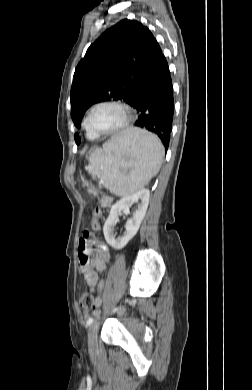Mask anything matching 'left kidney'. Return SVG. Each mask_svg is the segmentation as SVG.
I'll list each match as a JSON object with an SVG mask.
<instances>
[{
  "label": "left kidney",
  "mask_w": 252,
  "mask_h": 390,
  "mask_svg": "<svg viewBox=\"0 0 252 390\" xmlns=\"http://www.w3.org/2000/svg\"><path fill=\"white\" fill-rule=\"evenodd\" d=\"M149 194V190L143 188L122 198L111 207L109 216L103 227V233L107 243L114 249L119 250L124 248L137 233L148 208ZM137 202H139L137 209L133 213V216L126 222L125 234L122 237L115 238L113 235V226L118 215L122 210H129L130 206Z\"/></svg>",
  "instance_id": "5707ae66"
}]
</instances>
